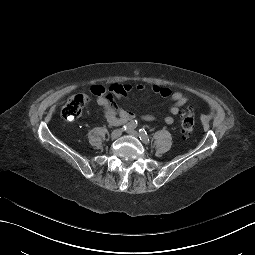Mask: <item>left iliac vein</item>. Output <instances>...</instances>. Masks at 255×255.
I'll use <instances>...</instances> for the list:
<instances>
[{"instance_id": "left-iliac-vein-1", "label": "left iliac vein", "mask_w": 255, "mask_h": 255, "mask_svg": "<svg viewBox=\"0 0 255 255\" xmlns=\"http://www.w3.org/2000/svg\"><path fill=\"white\" fill-rule=\"evenodd\" d=\"M127 133L134 136V137H140L139 133L134 129L127 130ZM145 143V142H144ZM147 144V143H146Z\"/></svg>"}]
</instances>
